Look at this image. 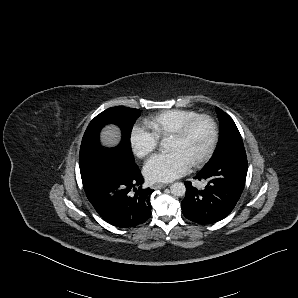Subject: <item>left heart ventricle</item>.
<instances>
[{
  "label": "left heart ventricle",
  "mask_w": 298,
  "mask_h": 298,
  "mask_svg": "<svg viewBox=\"0 0 298 298\" xmlns=\"http://www.w3.org/2000/svg\"><path fill=\"white\" fill-rule=\"evenodd\" d=\"M208 138V126L200 121L179 138L173 139L164 145L167 151H174L188 163L201 153Z\"/></svg>",
  "instance_id": "left-heart-ventricle-1"
}]
</instances>
